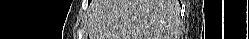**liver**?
Returning <instances> with one entry per match:
<instances>
[{
  "instance_id": "liver-1",
  "label": "liver",
  "mask_w": 249,
  "mask_h": 39,
  "mask_svg": "<svg viewBox=\"0 0 249 39\" xmlns=\"http://www.w3.org/2000/svg\"><path fill=\"white\" fill-rule=\"evenodd\" d=\"M172 0H98L91 6L90 39H165Z\"/></svg>"
}]
</instances>
